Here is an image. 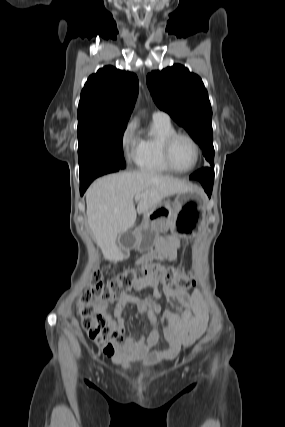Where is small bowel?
I'll return each mask as SVG.
<instances>
[{
  "mask_svg": "<svg viewBox=\"0 0 285 427\" xmlns=\"http://www.w3.org/2000/svg\"><path fill=\"white\" fill-rule=\"evenodd\" d=\"M180 250V240L176 235H163L157 238L155 249L145 255L142 261L167 258L175 261ZM152 288L154 298L142 299L136 294L123 293L112 302V310L107 302L95 301L94 306L98 314L106 321L109 328L120 337L126 333L125 307L129 304L137 307L139 316L150 325V329L140 339L133 336L113 345L112 350L104 352L115 358L116 362L130 366L141 363L147 367L159 365L164 361L172 360L181 348L192 345L204 332L207 322V306L199 288L192 294L177 286L161 287L158 281L151 277H138L133 288L136 292L144 288ZM162 297L175 300L173 311L163 310L155 301ZM191 310L194 317L182 323L179 313ZM159 317L164 322L162 336L167 347L153 351L152 348L160 342ZM104 349V348H103Z\"/></svg>",
  "mask_w": 285,
  "mask_h": 427,
  "instance_id": "1",
  "label": "small bowel"
}]
</instances>
